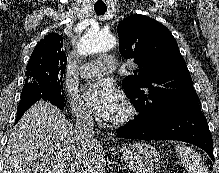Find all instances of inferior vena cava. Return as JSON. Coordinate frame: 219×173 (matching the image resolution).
Returning a JSON list of instances; mask_svg holds the SVG:
<instances>
[{
	"label": "inferior vena cava",
	"mask_w": 219,
	"mask_h": 173,
	"mask_svg": "<svg viewBox=\"0 0 219 173\" xmlns=\"http://www.w3.org/2000/svg\"><path fill=\"white\" fill-rule=\"evenodd\" d=\"M75 140L81 146H86L94 141V123L91 112L85 107L76 110V125L74 129ZM84 169L78 168L76 173H84Z\"/></svg>",
	"instance_id": "602c4592"
}]
</instances>
